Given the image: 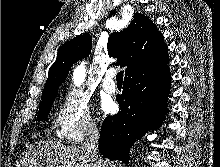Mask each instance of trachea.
<instances>
[{
  "mask_svg": "<svg viewBox=\"0 0 220 167\" xmlns=\"http://www.w3.org/2000/svg\"><path fill=\"white\" fill-rule=\"evenodd\" d=\"M123 73H124V71H120L117 74V76H116L117 83H122L123 82Z\"/></svg>",
  "mask_w": 220,
  "mask_h": 167,
  "instance_id": "1",
  "label": "trachea"
}]
</instances>
